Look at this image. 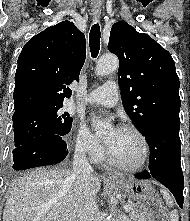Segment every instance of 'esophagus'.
<instances>
[{
  "mask_svg": "<svg viewBox=\"0 0 190 221\" xmlns=\"http://www.w3.org/2000/svg\"><path fill=\"white\" fill-rule=\"evenodd\" d=\"M100 14H101V10H100V9H93V10H92V15H93V17H94L95 19H98L99 16H100ZM108 175H109V176H117V174H116V173H113V172H108Z\"/></svg>",
  "mask_w": 190,
  "mask_h": 221,
  "instance_id": "esophagus-1",
  "label": "esophagus"
}]
</instances>
